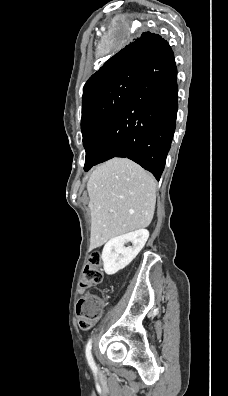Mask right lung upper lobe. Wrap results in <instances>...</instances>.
Here are the masks:
<instances>
[{
    "instance_id": "cb5924a9",
    "label": "right lung upper lobe",
    "mask_w": 228,
    "mask_h": 396,
    "mask_svg": "<svg viewBox=\"0 0 228 396\" xmlns=\"http://www.w3.org/2000/svg\"><path fill=\"white\" fill-rule=\"evenodd\" d=\"M163 43L167 42L161 36L144 32L134 42L111 57L89 78L83 88V98L107 80L134 70H142L144 60L151 56Z\"/></svg>"
}]
</instances>
